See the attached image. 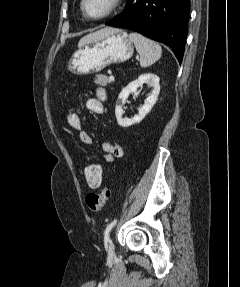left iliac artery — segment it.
I'll return each mask as SVG.
<instances>
[{
	"mask_svg": "<svg viewBox=\"0 0 240 287\" xmlns=\"http://www.w3.org/2000/svg\"><path fill=\"white\" fill-rule=\"evenodd\" d=\"M117 223V219H114L105 229V232H104V241H105V244L107 245V243L110 241V238H109V233L111 231V229L116 225Z\"/></svg>",
	"mask_w": 240,
	"mask_h": 287,
	"instance_id": "1",
	"label": "left iliac artery"
}]
</instances>
